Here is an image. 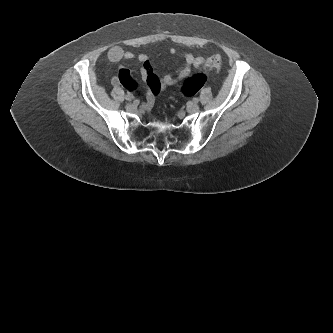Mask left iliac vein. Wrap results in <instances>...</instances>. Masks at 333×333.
Masks as SVG:
<instances>
[{"mask_svg":"<svg viewBox=\"0 0 333 333\" xmlns=\"http://www.w3.org/2000/svg\"><path fill=\"white\" fill-rule=\"evenodd\" d=\"M199 111V105L196 103H190L187 106V112L188 113H196Z\"/></svg>","mask_w":333,"mask_h":333,"instance_id":"1","label":"left iliac vein"}]
</instances>
